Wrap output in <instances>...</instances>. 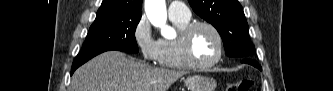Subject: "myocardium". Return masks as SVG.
<instances>
[{"label":"myocardium","mask_w":333,"mask_h":91,"mask_svg":"<svg viewBox=\"0 0 333 91\" xmlns=\"http://www.w3.org/2000/svg\"><path fill=\"white\" fill-rule=\"evenodd\" d=\"M201 27H205L211 30L218 41V54L213 60L207 63L197 62L193 56V50H192L193 36L196 30ZM179 42L181 47L182 59L189 68L199 69V70L212 68L216 66L224 56L225 52L224 38L219 29L214 24L207 21L191 22L184 30H182L179 36Z\"/></svg>","instance_id":"obj_1"}]
</instances>
